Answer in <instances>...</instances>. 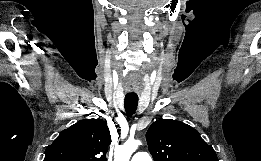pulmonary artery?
Returning <instances> with one entry per match:
<instances>
[{"mask_svg": "<svg viewBox=\"0 0 261 161\" xmlns=\"http://www.w3.org/2000/svg\"><path fill=\"white\" fill-rule=\"evenodd\" d=\"M131 161H153V160L152 157L147 152L138 151L132 156Z\"/></svg>", "mask_w": 261, "mask_h": 161, "instance_id": "pulmonary-artery-1", "label": "pulmonary artery"}]
</instances>
